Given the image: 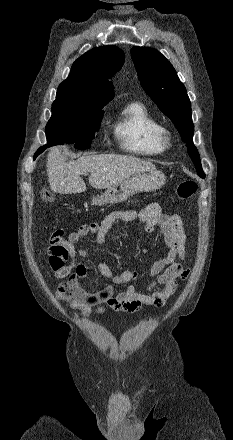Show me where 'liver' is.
I'll return each mask as SVG.
<instances>
[{"label":"liver","instance_id":"1","mask_svg":"<svg viewBox=\"0 0 233 440\" xmlns=\"http://www.w3.org/2000/svg\"><path fill=\"white\" fill-rule=\"evenodd\" d=\"M156 166L136 157L102 154L82 156L67 162L61 147H54L47 156V174L50 188L60 194H75L86 191L81 175L90 173L89 183L95 189H107L123 180Z\"/></svg>","mask_w":233,"mask_h":440}]
</instances>
